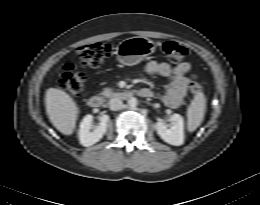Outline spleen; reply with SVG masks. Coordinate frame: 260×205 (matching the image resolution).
I'll use <instances>...</instances> for the list:
<instances>
[{
    "label": "spleen",
    "mask_w": 260,
    "mask_h": 205,
    "mask_svg": "<svg viewBox=\"0 0 260 205\" xmlns=\"http://www.w3.org/2000/svg\"><path fill=\"white\" fill-rule=\"evenodd\" d=\"M206 111V98L198 92L187 109V127L189 132L195 131L202 123Z\"/></svg>",
    "instance_id": "obj_1"
}]
</instances>
